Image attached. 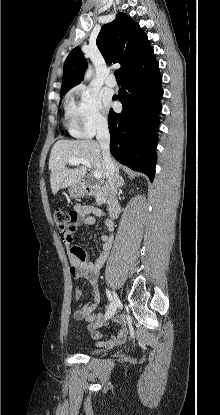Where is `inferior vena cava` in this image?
I'll list each match as a JSON object with an SVG mask.
<instances>
[{
    "instance_id": "inferior-vena-cava-1",
    "label": "inferior vena cava",
    "mask_w": 220,
    "mask_h": 415,
    "mask_svg": "<svg viewBox=\"0 0 220 415\" xmlns=\"http://www.w3.org/2000/svg\"><path fill=\"white\" fill-rule=\"evenodd\" d=\"M96 139L102 149L103 164L106 170V178L110 186V193L108 196L109 210L112 211L115 204V192L117 190L115 177V166L110 156V134L106 122H100L97 129Z\"/></svg>"
}]
</instances>
